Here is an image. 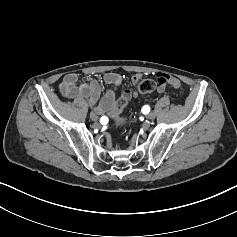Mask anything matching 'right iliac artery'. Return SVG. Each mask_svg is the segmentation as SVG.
I'll list each match as a JSON object with an SVG mask.
<instances>
[{"instance_id": "82829eb1", "label": "right iliac artery", "mask_w": 237, "mask_h": 237, "mask_svg": "<svg viewBox=\"0 0 237 237\" xmlns=\"http://www.w3.org/2000/svg\"><path fill=\"white\" fill-rule=\"evenodd\" d=\"M103 120L107 121L108 118L106 116H103V117H101L100 122H102Z\"/></svg>"}]
</instances>
